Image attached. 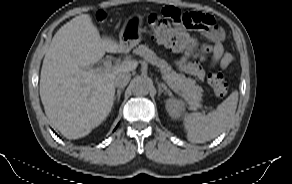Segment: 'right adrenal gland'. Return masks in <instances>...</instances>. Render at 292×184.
<instances>
[{
    "label": "right adrenal gland",
    "instance_id": "right-adrenal-gland-1",
    "mask_svg": "<svg viewBox=\"0 0 292 184\" xmlns=\"http://www.w3.org/2000/svg\"><path fill=\"white\" fill-rule=\"evenodd\" d=\"M122 91H123V89H118L117 94L114 96V100L117 99V102L120 101V96H121Z\"/></svg>",
    "mask_w": 292,
    "mask_h": 184
}]
</instances>
